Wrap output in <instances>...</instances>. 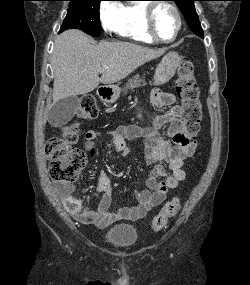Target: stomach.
Returning <instances> with one entry per match:
<instances>
[{"instance_id": "0dacf381", "label": "stomach", "mask_w": 250, "mask_h": 285, "mask_svg": "<svg viewBox=\"0 0 250 285\" xmlns=\"http://www.w3.org/2000/svg\"><path fill=\"white\" fill-rule=\"evenodd\" d=\"M180 62L181 58L178 53H167L155 70L154 85L160 86L168 83L175 75ZM120 91L121 90L119 87H112L109 95L105 97L106 100L110 103H114L119 98Z\"/></svg>"}]
</instances>
